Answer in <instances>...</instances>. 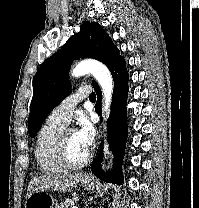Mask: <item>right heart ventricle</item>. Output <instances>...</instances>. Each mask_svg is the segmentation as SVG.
<instances>
[{
	"label": "right heart ventricle",
	"mask_w": 199,
	"mask_h": 208,
	"mask_svg": "<svg viewBox=\"0 0 199 208\" xmlns=\"http://www.w3.org/2000/svg\"><path fill=\"white\" fill-rule=\"evenodd\" d=\"M65 126L49 118L38 133L34 155L37 165L46 174H55L64 170L55 158V145Z\"/></svg>",
	"instance_id": "right-heart-ventricle-1"
}]
</instances>
